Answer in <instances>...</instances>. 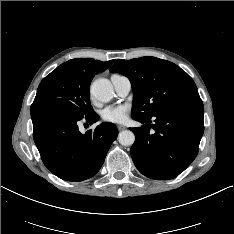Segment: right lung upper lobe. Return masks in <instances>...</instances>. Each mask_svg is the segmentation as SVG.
Wrapping results in <instances>:
<instances>
[{"label": "right lung upper lobe", "mask_w": 234, "mask_h": 234, "mask_svg": "<svg viewBox=\"0 0 234 234\" xmlns=\"http://www.w3.org/2000/svg\"><path fill=\"white\" fill-rule=\"evenodd\" d=\"M114 60L102 62L91 58H76L60 65L73 71L76 75L85 81L91 83L94 75L106 70Z\"/></svg>", "instance_id": "cb5924a9"}]
</instances>
